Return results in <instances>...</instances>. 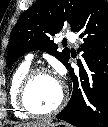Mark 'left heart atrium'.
<instances>
[{"label":"left heart atrium","mask_w":108,"mask_h":127,"mask_svg":"<svg viewBox=\"0 0 108 127\" xmlns=\"http://www.w3.org/2000/svg\"><path fill=\"white\" fill-rule=\"evenodd\" d=\"M61 75H62V73L61 72H59V75L56 77L57 78V80L61 83Z\"/></svg>","instance_id":"1"}]
</instances>
